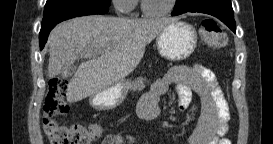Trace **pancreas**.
<instances>
[{
  "mask_svg": "<svg viewBox=\"0 0 273 144\" xmlns=\"http://www.w3.org/2000/svg\"><path fill=\"white\" fill-rule=\"evenodd\" d=\"M146 81L143 77H138L135 81L129 84V89L132 91L142 90L145 88L144 82Z\"/></svg>",
  "mask_w": 273,
  "mask_h": 144,
  "instance_id": "cf45deb5",
  "label": "pancreas"
}]
</instances>
